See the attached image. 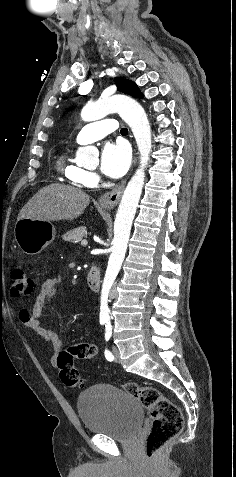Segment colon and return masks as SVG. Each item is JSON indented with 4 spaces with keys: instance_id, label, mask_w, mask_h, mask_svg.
<instances>
[{
    "instance_id": "1",
    "label": "colon",
    "mask_w": 236,
    "mask_h": 477,
    "mask_svg": "<svg viewBox=\"0 0 236 477\" xmlns=\"http://www.w3.org/2000/svg\"><path fill=\"white\" fill-rule=\"evenodd\" d=\"M10 280L11 295L17 300L31 296L36 290V280L29 277L21 266L11 270ZM94 356L91 354V344L88 343H79L61 351L57 357V366L62 382L69 387H79L81 378L78 370L73 367V361L75 359L90 360ZM123 389L135 397L150 413L152 423L145 437V455L149 459L154 458L163 446L181 432L182 413L155 387L127 382L123 385Z\"/></svg>"
}]
</instances>
